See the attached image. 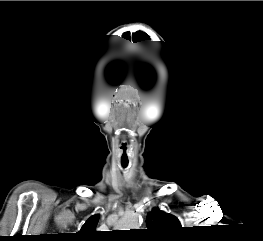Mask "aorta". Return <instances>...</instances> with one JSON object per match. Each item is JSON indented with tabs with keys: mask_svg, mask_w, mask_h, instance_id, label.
<instances>
[{
	"mask_svg": "<svg viewBox=\"0 0 263 241\" xmlns=\"http://www.w3.org/2000/svg\"><path fill=\"white\" fill-rule=\"evenodd\" d=\"M142 218L139 213L132 212L124 216L118 224L121 230L138 229L141 225Z\"/></svg>",
	"mask_w": 263,
	"mask_h": 241,
	"instance_id": "obj_1",
	"label": "aorta"
}]
</instances>
